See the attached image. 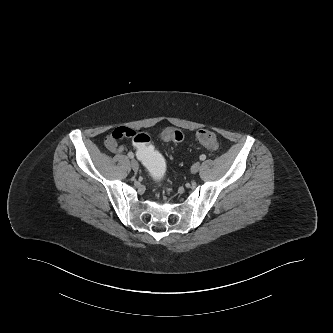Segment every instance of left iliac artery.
<instances>
[{"label": "left iliac artery", "mask_w": 333, "mask_h": 333, "mask_svg": "<svg viewBox=\"0 0 333 333\" xmlns=\"http://www.w3.org/2000/svg\"><path fill=\"white\" fill-rule=\"evenodd\" d=\"M206 159V156L204 155V154H202L201 156H200V160H205Z\"/></svg>", "instance_id": "1"}]
</instances>
